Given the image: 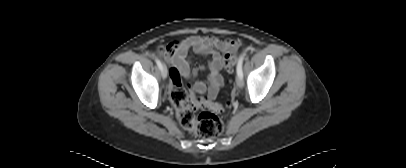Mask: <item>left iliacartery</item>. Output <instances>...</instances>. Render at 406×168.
Listing matches in <instances>:
<instances>
[{
	"label": "left iliac artery",
	"mask_w": 406,
	"mask_h": 168,
	"mask_svg": "<svg viewBox=\"0 0 406 168\" xmlns=\"http://www.w3.org/2000/svg\"><path fill=\"white\" fill-rule=\"evenodd\" d=\"M245 55H242L237 63L236 71L237 75L243 78V71H242V65H243V60H244Z\"/></svg>",
	"instance_id": "obj_1"
}]
</instances>
